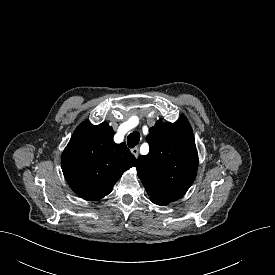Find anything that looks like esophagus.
<instances>
[{"instance_id":"34e87169","label":"esophagus","mask_w":275,"mask_h":275,"mask_svg":"<svg viewBox=\"0 0 275 275\" xmlns=\"http://www.w3.org/2000/svg\"><path fill=\"white\" fill-rule=\"evenodd\" d=\"M131 153L136 157L138 158L139 156V148L138 147H134L131 149Z\"/></svg>"}]
</instances>
